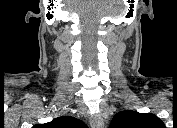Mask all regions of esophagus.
<instances>
[{
    "label": "esophagus",
    "mask_w": 177,
    "mask_h": 128,
    "mask_svg": "<svg viewBox=\"0 0 177 128\" xmlns=\"http://www.w3.org/2000/svg\"><path fill=\"white\" fill-rule=\"evenodd\" d=\"M91 128H104V121L98 114L91 116L90 118Z\"/></svg>",
    "instance_id": "34e87169"
}]
</instances>
